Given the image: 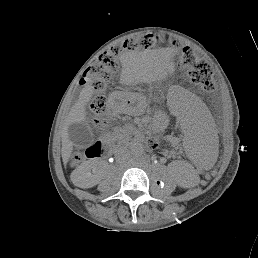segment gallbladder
<instances>
[{
	"instance_id": "bac80fb5",
	"label": "gallbladder",
	"mask_w": 258,
	"mask_h": 258,
	"mask_svg": "<svg viewBox=\"0 0 258 258\" xmlns=\"http://www.w3.org/2000/svg\"><path fill=\"white\" fill-rule=\"evenodd\" d=\"M68 135L71 142L80 147H86L93 142V134L89 125L72 123L68 126Z\"/></svg>"
}]
</instances>
